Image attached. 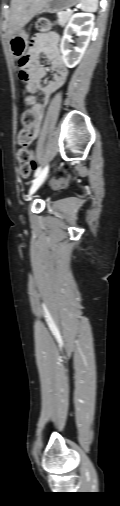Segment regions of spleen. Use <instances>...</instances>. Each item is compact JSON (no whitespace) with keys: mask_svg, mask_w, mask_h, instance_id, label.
<instances>
[{"mask_svg":"<svg viewBox=\"0 0 120 506\" xmlns=\"http://www.w3.org/2000/svg\"><path fill=\"white\" fill-rule=\"evenodd\" d=\"M81 9L87 12H95L98 8V0H80Z\"/></svg>","mask_w":120,"mask_h":506,"instance_id":"spleen-1","label":"spleen"}]
</instances>
